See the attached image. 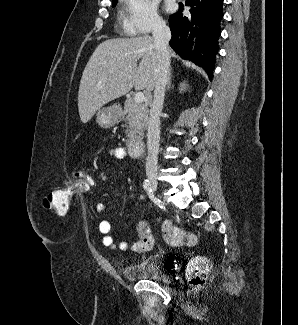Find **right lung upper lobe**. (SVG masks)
<instances>
[{
  "label": "right lung upper lobe",
  "mask_w": 298,
  "mask_h": 325,
  "mask_svg": "<svg viewBox=\"0 0 298 325\" xmlns=\"http://www.w3.org/2000/svg\"><path fill=\"white\" fill-rule=\"evenodd\" d=\"M112 1H113V3H114V2H117V0H112Z\"/></svg>",
  "instance_id": "right-lung-upper-lobe-1"
}]
</instances>
